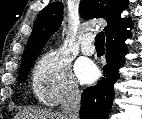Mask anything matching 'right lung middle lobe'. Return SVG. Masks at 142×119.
<instances>
[{"instance_id": "obj_1", "label": "right lung middle lobe", "mask_w": 142, "mask_h": 119, "mask_svg": "<svg viewBox=\"0 0 142 119\" xmlns=\"http://www.w3.org/2000/svg\"><path fill=\"white\" fill-rule=\"evenodd\" d=\"M36 58L30 60L29 62L23 64L21 67H20V82L22 83L23 81H25L32 65H33V62L35 61Z\"/></svg>"}]
</instances>
